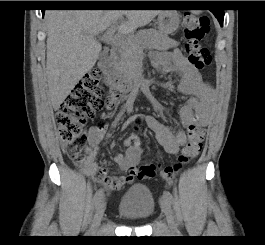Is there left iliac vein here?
Returning a JSON list of instances; mask_svg holds the SVG:
<instances>
[{
	"label": "left iliac vein",
	"mask_w": 265,
	"mask_h": 245,
	"mask_svg": "<svg viewBox=\"0 0 265 245\" xmlns=\"http://www.w3.org/2000/svg\"><path fill=\"white\" fill-rule=\"evenodd\" d=\"M160 205H161L162 211L164 212L166 216L170 231L172 233L176 232L177 227H176L173 211H172L169 201L164 196L160 200Z\"/></svg>",
	"instance_id": "left-iliac-vein-1"
}]
</instances>
